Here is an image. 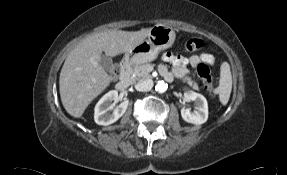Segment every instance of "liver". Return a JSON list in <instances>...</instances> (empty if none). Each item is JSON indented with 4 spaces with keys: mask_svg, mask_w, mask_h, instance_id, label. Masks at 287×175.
<instances>
[{
    "mask_svg": "<svg viewBox=\"0 0 287 175\" xmlns=\"http://www.w3.org/2000/svg\"><path fill=\"white\" fill-rule=\"evenodd\" d=\"M151 28L140 31L96 33L83 39L67 56L60 72L59 91L65 110L80 118L87 106L111 82V77L99 64L102 52L114 57L126 53L146 39Z\"/></svg>",
    "mask_w": 287,
    "mask_h": 175,
    "instance_id": "liver-1",
    "label": "liver"
}]
</instances>
